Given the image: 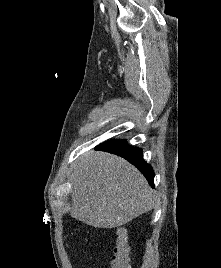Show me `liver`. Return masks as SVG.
<instances>
[{
    "label": "liver",
    "instance_id": "1",
    "mask_svg": "<svg viewBox=\"0 0 221 268\" xmlns=\"http://www.w3.org/2000/svg\"><path fill=\"white\" fill-rule=\"evenodd\" d=\"M70 215L93 227L115 228L154 208L155 196L145 177L116 155L89 151L70 176Z\"/></svg>",
    "mask_w": 221,
    "mask_h": 268
}]
</instances>
